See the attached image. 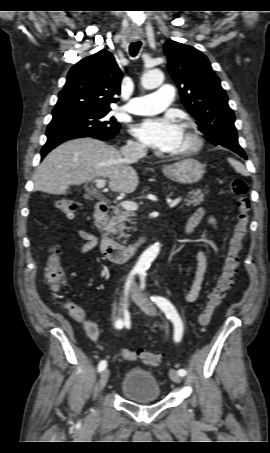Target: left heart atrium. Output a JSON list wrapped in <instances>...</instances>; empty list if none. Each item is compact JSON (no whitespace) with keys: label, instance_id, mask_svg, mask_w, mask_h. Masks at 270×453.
Returning a JSON list of instances; mask_svg holds the SVG:
<instances>
[{"label":"left heart atrium","instance_id":"left-heart-atrium-1","mask_svg":"<svg viewBox=\"0 0 270 453\" xmlns=\"http://www.w3.org/2000/svg\"><path fill=\"white\" fill-rule=\"evenodd\" d=\"M132 131L145 145L168 151L178 137L179 125L170 116L147 118L136 124Z\"/></svg>","mask_w":270,"mask_h":453}]
</instances>
